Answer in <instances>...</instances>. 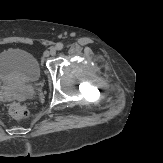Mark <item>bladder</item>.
Listing matches in <instances>:
<instances>
[{"instance_id": "bladder-1", "label": "bladder", "mask_w": 163, "mask_h": 163, "mask_svg": "<svg viewBox=\"0 0 163 163\" xmlns=\"http://www.w3.org/2000/svg\"><path fill=\"white\" fill-rule=\"evenodd\" d=\"M40 76L41 68L33 54L20 49L0 53V80L26 85L36 82Z\"/></svg>"}]
</instances>
